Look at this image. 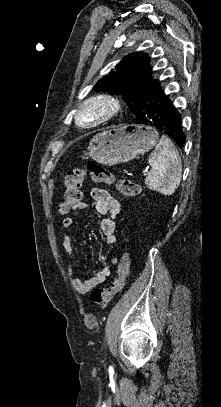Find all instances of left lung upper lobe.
Returning a JSON list of instances; mask_svg holds the SVG:
<instances>
[{
    "instance_id": "obj_1",
    "label": "left lung upper lobe",
    "mask_w": 221,
    "mask_h": 407,
    "mask_svg": "<svg viewBox=\"0 0 221 407\" xmlns=\"http://www.w3.org/2000/svg\"><path fill=\"white\" fill-rule=\"evenodd\" d=\"M115 68V71L100 79L93 89L122 96L136 114L142 92L157 81L151 77L149 58L146 53L134 52L123 58Z\"/></svg>"
}]
</instances>
